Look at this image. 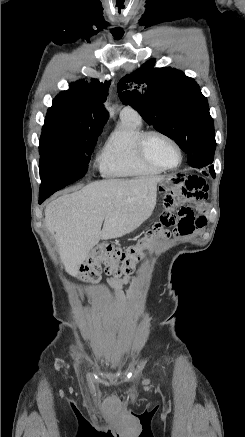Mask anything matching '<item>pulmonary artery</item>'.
Masks as SVG:
<instances>
[{"instance_id":"1","label":"pulmonary artery","mask_w":245,"mask_h":437,"mask_svg":"<svg viewBox=\"0 0 245 437\" xmlns=\"http://www.w3.org/2000/svg\"><path fill=\"white\" fill-rule=\"evenodd\" d=\"M121 117H130V118L140 119L139 114L129 106H126L122 109Z\"/></svg>"}]
</instances>
